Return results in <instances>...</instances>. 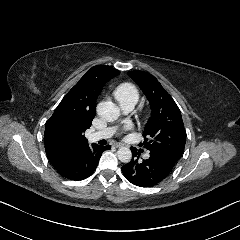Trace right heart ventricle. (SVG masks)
I'll list each match as a JSON object with an SVG mask.
<instances>
[{"instance_id": "right-heart-ventricle-1", "label": "right heart ventricle", "mask_w": 240, "mask_h": 240, "mask_svg": "<svg viewBox=\"0 0 240 240\" xmlns=\"http://www.w3.org/2000/svg\"><path fill=\"white\" fill-rule=\"evenodd\" d=\"M115 98L118 100L121 106L135 105L139 100V91L132 84H123L116 88L114 92Z\"/></svg>"}]
</instances>
